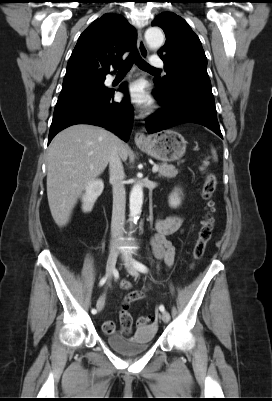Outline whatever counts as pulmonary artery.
<instances>
[{"instance_id": "e3ab8cb5", "label": "pulmonary artery", "mask_w": 272, "mask_h": 401, "mask_svg": "<svg viewBox=\"0 0 272 401\" xmlns=\"http://www.w3.org/2000/svg\"><path fill=\"white\" fill-rule=\"evenodd\" d=\"M150 66H152L154 68L163 67L164 66V62L160 57L153 56L150 59Z\"/></svg>"}]
</instances>
